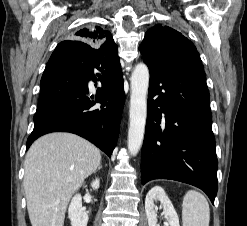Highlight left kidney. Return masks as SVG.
I'll list each match as a JSON object with an SVG mask.
<instances>
[{
  "instance_id": "5707ae66",
  "label": "left kidney",
  "mask_w": 247,
  "mask_h": 226,
  "mask_svg": "<svg viewBox=\"0 0 247 226\" xmlns=\"http://www.w3.org/2000/svg\"><path fill=\"white\" fill-rule=\"evenodd\" d=\"M157 201L163 206V215L166 219V222H164L165 226H180L179 218L173 204L164 189L160 186L153 187L146 195L145 211L149 226H158L155 210V203Z\"/></svg>"
}]
</instances>
